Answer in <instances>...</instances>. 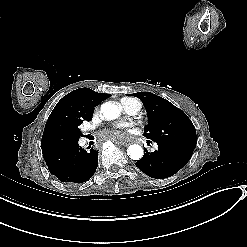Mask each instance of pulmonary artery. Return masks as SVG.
<instances>
[{"mask_svg": "<svg viewBox=\"0 0 247 247\" xmlns=\"http://www.w3.org/2000/svg\"><path fill=\"white\" fill-rule=\"evenodd\" d=\"M151 149H152L153 151H156V150L158 149V146H157L156 144H153V145L151 146Z\"/></svg>", "mask_w": 247, "mask_h": 247, "instance_id": "obj_1", "label": "pulmonary artery"}]
</instances>
